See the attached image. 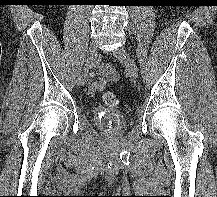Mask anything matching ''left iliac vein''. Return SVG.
Masks as SVG:
<instances>
[{"label":"left iliac vein","mask_w":217,"mask_h":197,"mask_svg":"<svg viewBox=\"0 0 217 197\" xmlns=\"http://www.w3.org/2000/svg\"><path fill=\"white\" fill-rule=\"evenodd\" d=\"M113 55L120 62H122L125 65L126 70L131 77H133V78L138 77L137 65H136L134 59L131 57V55L129 54V52L125 48L121 47V48L115 50L113 52Z\"/></svg>","instance_id":"1"}]
</instances>
